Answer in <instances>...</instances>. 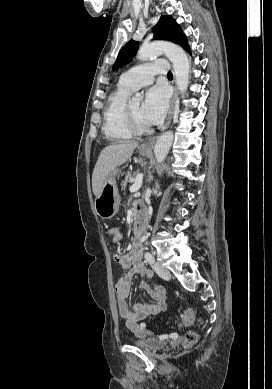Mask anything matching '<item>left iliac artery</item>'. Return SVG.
<instances>
[{"mask_svg": "<svg viewBox=\"0 0 272 389\" xmlns=\"http://www.w3.org/2000/svg\"><path fill=\"white\" fill-rule=\"evenodd\" d=\"M145 259L149 263H153L154 262V257L152 256V254L150 252H146L145 253Z\"/></svg>", "mask_w": 272, "mask_h": 389, "instance_id": "left-iliac-artery-1", "label": "left iliac artery"}]
</instances>
